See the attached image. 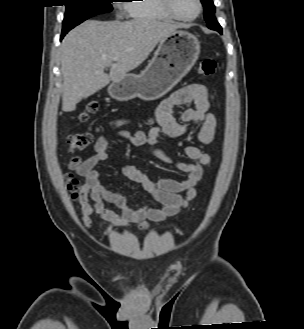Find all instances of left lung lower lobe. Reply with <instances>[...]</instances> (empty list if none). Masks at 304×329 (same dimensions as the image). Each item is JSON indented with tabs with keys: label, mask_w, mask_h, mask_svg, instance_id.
I'll return each instance as SVG.
<instances>
[{
	"label": "left lung lower lobe",
	"mask_w": 304,
	"mask_h": 329,
	"mask_svg": "<svg viewBox=\"0 0 304 329\" xmlns=\"http://www.w3.org/2000/svg\"><path fill=\"white\" fill-rule=\"evenodd\" d=\"M208 28L212 29V30H216L218 31L220 34H222V28L219 25V23L217 22L216 18L212 19V22L208 25Z\"/></svg>",
	"instance_id": "0a47b994"
}]
</instances>
